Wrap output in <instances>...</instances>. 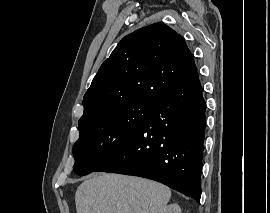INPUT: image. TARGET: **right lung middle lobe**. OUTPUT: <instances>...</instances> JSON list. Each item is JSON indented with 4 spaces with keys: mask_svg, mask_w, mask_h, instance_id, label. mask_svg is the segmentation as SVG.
Returning <instances> with one entry per match:
<instances>
[{
    "mask_svg": "<svg viewBox=\"0 0 270 213\" xmlns=\"http://www.w3.org/2000/svg\"><path fill=\"white\" fill-rule=\"evenodd\" d=\"M155 103L134 101L79 122L73 147L76 174L87 175L112 157L141 127Z\"/></svg>",
    "mask_w": 270,
    "mask_h": 213,
    "instance_id": "right-lung-middle-lobe-1",
    "label": "right lung middle lobe"
}]
</instances>
